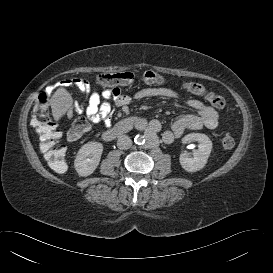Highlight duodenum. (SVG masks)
Segmentation results:
<instances>
[{
	"mask_svg": "<svg viewBox=\"0 0 273 273\" xmlns=\"http://www.w3.org/2000/svg\"><path fill=\"white\" fill-rule=\"evenodd\" d=\"M137 122L136 118H125L117 122L110 129L106 130L102 137L105 141H112L126 133H128Z\"/></svg>",
	"mask_w": 273,
	"mask_h": 273,
	"instance_id": "1",
	"label": "duodenum"
}]
</instances>
